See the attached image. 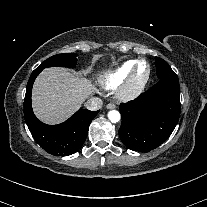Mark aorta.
I'll list each match as a JSON object with an SVG mask.
<instances>
[{"label":"aorta","mask_w":207,"mask_h":207,"mask_svg":"<svg viewBox=\"0 0 207 207\" xmlns=\"http://www.w3.org/2000/svg\"><path fill=\"white\" fill-rule=\"evenodd\" d=\"M108 118L112 123H117L120 121V113L117 110H111L108 113Z\"/></svg>","instance_id":"1"}]
</instances>
